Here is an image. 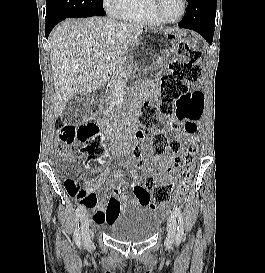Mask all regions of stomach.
Here are the masks:
<instances>
[{
    "mask_svg": "<svg viewBox=\"0 0 265 273\" xmlns=\"http://www.w3.org/2000/svg\"><path fill=\"white\" fill-rule=\"evenodd\" d=\"M180 35V30H153L144 28L130 44L129 56L139 57L141 64H135L130 78H157V73L168 69L172 56L170 45Z\"/></svg>",
    "mask_w": 265,
    "mask_h": 273,
    "instance_id": "1",
    "label": "stomach"
}]
</instances>
